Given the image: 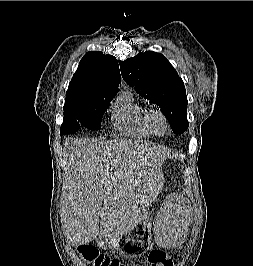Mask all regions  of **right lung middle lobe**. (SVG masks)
I'll return each mask as SVG.
<instances>
[{"mask_svg": "<svg viewBox=\"0 0 253 266\" xmlns=\"http://www.w3.org/2000/svg\"><path fill=\"white\" fill-rule=\"evenodd\" d=\"M114 97H104L87 103L65 104L61 135L78 131L81 124L91 130L100 129L102 117Z\"/></svg>", "mask_w": 253, "mask_h": 266, "instance_id": "obj_1", "label": "right lung middle lobe"}]
</instances>
